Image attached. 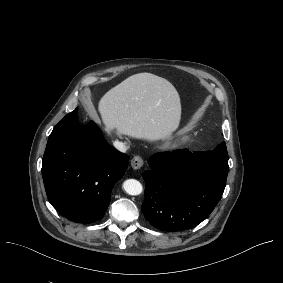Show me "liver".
<instances>
[{"instance_id":"1","label":"liver","mask_w":283,"mask_h":283,"mask_svg":"<svg viewBox=\"0 0 283 283\" xmlns=\"http://www.w3.org/2000/svg\"><path fill=\"white\" fill-rule=\"evenodd\" d=\"M97 113L103 130L113 138L156 143L169 139L179 129L182 105L168 79L141 72L105 92L98 101ZM87 115L93 118V114Z\"/></svg>"}]
</instances>
